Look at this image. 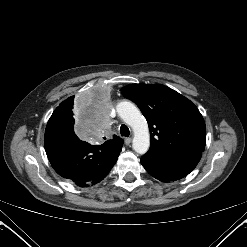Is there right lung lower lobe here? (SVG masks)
<instances>
[{"mask_svg": "<svg viewBox=\"0 0 247 247\" xmlns=\"http://www.w3.org/2000/svg\"><path fill=\"white\" fill-rule=\"evenodd\" d=\"M44 142L54 170L80 187L103 180L122 149V146L108 144L93 146L81 141L72 128L49 122Z\"/></svg>", "mask_w": 247, "mask_h": 247, "instance_id": "1", "label": "right lung lower lobe"}]
</instances>
